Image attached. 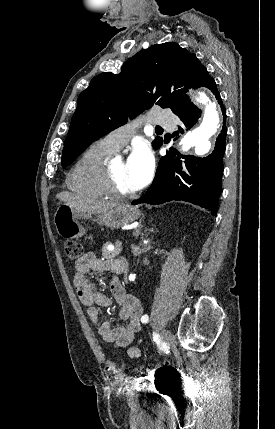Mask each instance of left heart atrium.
I'll return each mask as SVG.
<instances>
[{
  "instance_id": "1",
  "label": "left heart atrium",
  "mask_w": 275,
  "mask_h": 429,
  "mask_svg": "<svg viewBox=\"0 0 275 429\" xmlns=\"http://www.w3.org/2000/svg\"><path fill=\"white\" fill-rule=\"evenodd\" d=\"M128 181L134 190L142 188L153 170V156L146 143H137L126 160Z\"/></svg>"
}]
</instances>
